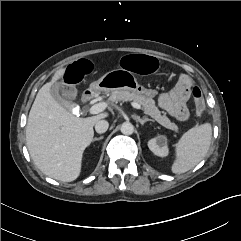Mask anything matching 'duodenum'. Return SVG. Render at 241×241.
<instances>
[{"instance_id":"duodenum-1","label":"duodenum","mask_w":241,"mask_h":241,"mask_svg":"<svg viewBox=\"0 0 241 241\" xmlns=\"http://www.w3.org/2000/svg\"><path fill=\"white\" fill-rule=\"evenodd\" d=\"M94 93H95V90H93V89H87V90H85V91L83 92V94H82V100H83L85 103L89 102V101L93 98Z\"/></svg>"}]
</instances>
